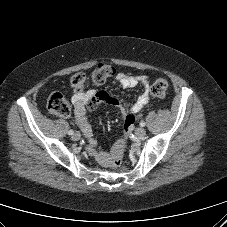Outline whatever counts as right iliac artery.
Returning <instances> with one entry per match:
<instances>
[{"label":"right iliac artery","mask_w":227,"mask_h":227,"mask_svg":"<svg viewBox=\"0 0 227 227\" xmlns=\"http://www.w3.org/2000/svg\"><path fill=\"white\" fill-rule=\"evenodd\" d=\"M74 134V131L73 130H69L68 131V135H73Z\"/></svg>","instance_id":"obj_1"}]
</instances>
